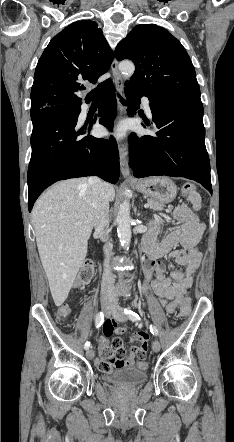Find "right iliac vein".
Wrapping results in <instances>:
<instances>
[{
	"label": "right iliac vein",
	"instance_id": "right-iliac-vein-1",
	"mask_svg": "<svg viewBox=\"0 0 234 442\" xmlns=\"http://www.w3.org/2000/svg\"><path fill=\"white\" fill-rule=\"evenodd\" d=\"M111 306H112V304L110 303V301H108V300L102 301V309L104 310L106 316H108L111 313ZM86 356L90 360L93 359L94 358V351L91 348L87 349Z\"/></svg>",
	"mask_w": 234,
	"mask_h": 442
}]
</instances>
